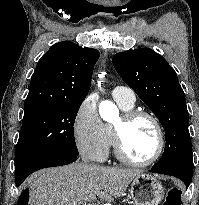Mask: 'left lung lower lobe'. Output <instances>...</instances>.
Instances as JSON below:
<instances>
[{"label":"left lung lower lobe","instance_id":"obj_1","mask_svg":"<svg viewBox=\"0 0 199 205\" xmlns=\"http://www.w3.org/2000/svg\"><path fill=\"white\" fill-rule=\"evenodd\" d=\"M149 172L160 173V174H165V175L177 177L185 183L186 189L189 187L191 180H192L191 175H187L184 172L177 170V169H171V168L156 169V168L152 167L151 170H149Z\"/></svg>","mask_w":199,"mask_h":205}]
</instances>
